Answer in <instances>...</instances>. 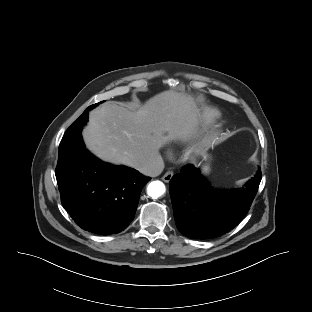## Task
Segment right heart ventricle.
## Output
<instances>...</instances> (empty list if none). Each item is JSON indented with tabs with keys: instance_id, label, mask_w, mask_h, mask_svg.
Segmentation results:
<instances>
[{
	"instance_id": "e07e8e85",
	"label": "right heart ventricle",
	"mask_w": 312,
	"mask_h": 312,
	"mask_svg": "<svg viewBox=\"0 0 312 312\" xmlns=\"http://www.w3.org/2000/svg\"><path fill=\"white\" fill-rule=\"evenodd\" d=\"M220 118V114L217 111H208L204 115V122L212 123Z\"/></svg>"
}]
</instances>
